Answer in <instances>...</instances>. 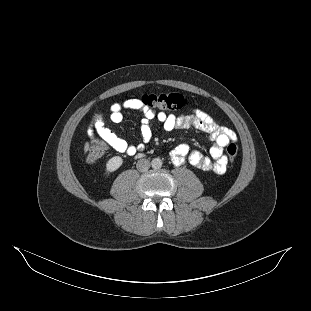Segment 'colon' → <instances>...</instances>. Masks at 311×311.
I'll list each match as a JSON object with an SVG mask.
<instances>
[{"label": "colon", "mask_w": 311, "mask_h": 311, "mask_svg": "<svg viewBox=\"0 0 311 311\" xmlns=\"http://www.w3.org/2000/svg\"><path fill=\"white\" fill-rule=\"evenodd\" d=\"M150 108L158 109L160 111H178L187 105V99L178 93H160L144 95L141 99ZM105 153V146L102 143L93 145L86 155L88 163L97 162ZM238 153V148L235 143H230L227 147V155L231 162H233Z\"/></svg>", "instance_id": "5ec220e1"}]
</instances>
